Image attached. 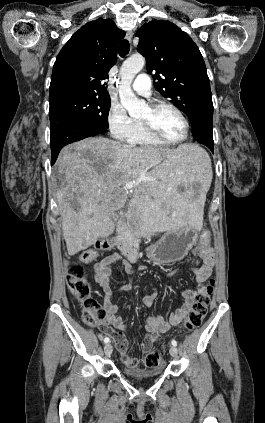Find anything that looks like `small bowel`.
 <instances>
[{
	"mask_svg": "<svg viewBox=\"0 0 265 423\" xmlns=\"http://www.w3.org/2000/svg\"><path fill=\"white\" fill-rule=\"evenodd\" d=\"M196 255L202 261V263L193 266L191 271L193 273L194 282L196 283L198 289H186L182 291V297L184 298L182 306L176 311L171 312L167 318H163L159 315H152L147 318L145 325L146 335L141 344V350L143 353L149 352L157 338L161 334L165 333L170 326H177L187 318L195 303L197 293L203 286L204 282L211 275L216 263V255L213 249L208 245L203 248H198L196 250ZM120 261L121 257L118 254H110L99 261L95 266V278L104 293L105 310L108 314L109 323L108 330H101L104 334L110 335L113 338L115 346L122 357L124 365L133 368L138 367L142 360L135 359L128 354L130 341L125 336L127 326L124 323L122 316L119 314L120 306L113 301L114 292L110 280L112 266ZM122 265L128 273H133L136 271V269L126 260L122 261ZM140 269H142V267H140ZM172 275L173 273L170 274V276ZM131 288L132 285L130 283H126L121 285L116 292H127L130 291ZM157 296V290H152L150 293L143 297V305L146 307L151 306ZM111 326L117 331H114Z\"/></svg>",
	"mask_w": 265,
	"mask_h": 423,
	"instance_id": "obj_1",
	"label": "small bowel"
}]
</instances>
